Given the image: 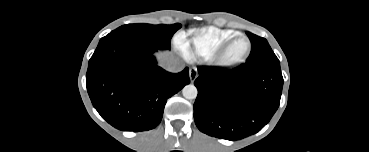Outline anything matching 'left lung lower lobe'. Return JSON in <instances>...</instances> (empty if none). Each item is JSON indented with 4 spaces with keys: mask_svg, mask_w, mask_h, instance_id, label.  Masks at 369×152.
I'll return each instance as SVG.
<instances>
[{
    "mask_svg": "<svg viewBox=\"0 0 369 152\" xmlns=\"http://www.w3.org/2000/svg\"><path fill=\"white\" fill-rule=\"evenodd\" d=\"M194 120L207 135L240 140L260 131L280 104V63H245L219 71L198 69Z\"/></svg>",
    "mask_w": 369,
    "mask_h": 152,
    "instance_id": "obj_1",
    "label": "left lung lower lobe"
}]
</instances>
